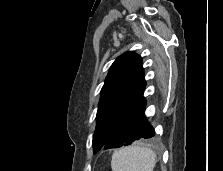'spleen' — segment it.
<instances>
[{"label": "spleen", "instance_id": "3e777b00", "mask_svg": "<svg viewBox=\"0 0 223 171\" xmlns=\"http://www.w3.org/2000/svg\"><path fill=\"white\" fill-rule=\"evenodd\" d=\"M156 153L147 147L129 146L113 153L112 171H153Z\"/></svg>", "mask_w": 223, "mask_h": 171}]
</instances>
